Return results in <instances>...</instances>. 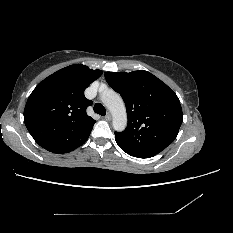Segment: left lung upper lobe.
Returning a JSON list of instances; mask_svg holds the SVG:
<instances>
[{
    "mask_svg": "<svg viewBox=\"0 0 233 233\" xmlns=\"http://www.w3.org/2000/svg\"><path fill=\"white\" fill-rule=\"evenodd\" d=\"M107 83L126 105L128 125L115 140L135 154L155 156L177 137L183 113L177 95L145 70L106 72Z\"/></svg>",
    "mask_w": 233,
    "mask_h": 233,
    "instance_id": "left-lung-upper-lobe-1",
    "label": "left lung upper lobe"
}]
</instances>
